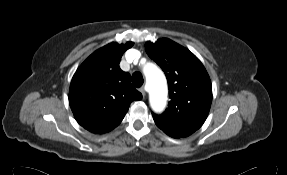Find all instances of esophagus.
Returning a JSON list of instances; mask_svg holds the SVG:
<instances>
[{
	"mask_svg": "<svg viewBox=\"0 0 287 175\" xmlns=\"http://www.w3.org/2000/svg\"><path fill=\"white\" fill-rule=\"evenodd\" d=\"M139 90H140V92L142 93L143 98H145V96H146V91H145V89H144V88H140Z\"/></svg>",
	"mask_w": 287,
	"mask_h": 175,
	"instance_id": "esophagus-1",
	"label": "esophagus"
}]
</instances>
